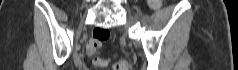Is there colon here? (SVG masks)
<instances>
[{"label": "colon", "mask_w": 238, "mask_h": 70, "mask_svg": "<svg viewBox=\"0 0 238 70\" xmlns=\"http://www.w3.org/2000/svg\"><path fill=\"white\" fill-rule=\"evenodd\" d=\"M149 4L152 8L159 6L158 0H150ZM109 38V32L105 29H97L94 31L93 40L88 45V53L95 54L101 47V43ZM94 65L98 69H105L107 67V61L96 57L94 59ZM115 70H128V65L125 61H120L114 65Z\"/></svg>", "instance_id": "5ec220e1"}]
</instances>
